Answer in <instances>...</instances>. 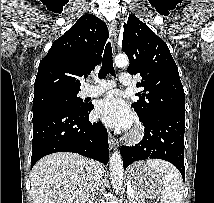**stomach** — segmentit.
<instances>
[{"label": "stomach", "mask_w": 214, "mask_h": 203, "mask_svg": "<svg viewBox=\"0 0 214 203\" xmlns=\"http://www.w3.org/2000/svg\"><path fill=\"white\" fill-rule=\"evenodd\" d=\"M127 178L141 201L156 198L162 192V176L143 162L134 163L128 169Z\"/></svg>", "instance_id": "0dacf381"}]
</instances>
